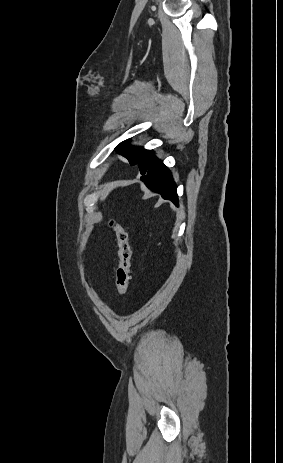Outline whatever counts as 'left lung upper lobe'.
<instances>
[{"instance_id":"5c2ea615","label":"left lung upper lobe","mask_w":283,"mask_h":463,"mask_svg":"<svg viewBox=\"0 0 283 463\" xmlns=\"http://www.w3.org/2000/svg\"><path fill=\"white\" fill-rule=\"evenodd\" d=\"M128 144L129 140L123 141L115 150L126 157L131 165H135L147 150L142 147H128Z\"/></svg>"}]
</instances>
